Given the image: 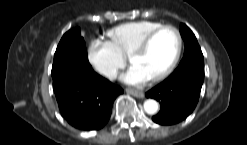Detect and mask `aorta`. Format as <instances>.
<instances>
[{"instance_id":"obj_1","label":"aorta","mask_w":247,"mask_h":145,"mask_svg":"<svg viewBox=\"0 0 247 145\" xmlns=\"http://www.w3.org/2000/svg\"><path fill=\"white\" fill-rule=\"evenodd\" d=\"M143 106H144L145 112L150 115L156 114L159 108L157 101L153 99L146 100Z\"/></svg>"}]
</instances>
